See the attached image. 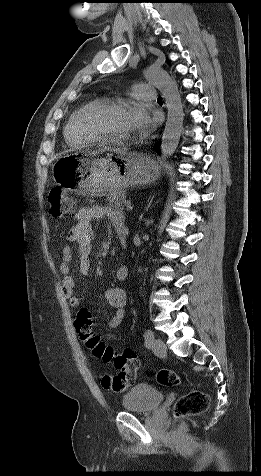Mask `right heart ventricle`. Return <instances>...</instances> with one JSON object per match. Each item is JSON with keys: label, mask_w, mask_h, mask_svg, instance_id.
<instances>
[{"label": "right heart ventricle", "mask_w": 261, "mask_h": 476, "mask_svg": "<svg viewBox=\"0 0 261 476\" xmlns=\"http://www.w3.org/2000/svg\"><path fill=\"white\" fill-rule=\"evenodd\" d=\"M105 100L102 98H97L86 102L85 104L78 107L68 118L64 129V136L67 144L71 147H83L97 142L94 139H90L84 136L78 126V120L81 112L90 104L96 101Z\"/></svg>", "instance_id": "obj_1"}]
</instances>
